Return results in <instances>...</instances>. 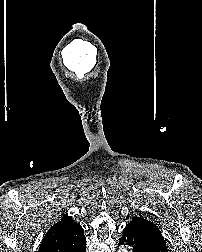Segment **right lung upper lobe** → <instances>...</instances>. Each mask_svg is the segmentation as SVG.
I'll use <instances>...</instances> for the list:
<instances>
[{
	"instance_id": "right-lung-upper-lobe-1",
	"label": "right lung upper lobe",
	"mask_w": 202,
	"mask_h": 252,
	"mask_svg": "<svg viewBox=\"0 0 202 252\" xmlns=\"http://www.w3.org/2000/svg\"><path fill=\"white\" fill-rule=\"evenodd\" d=\"M85 242L83 228L65 215L48 230L38 252H81Z\"/></svg>"
}]
</instances>
